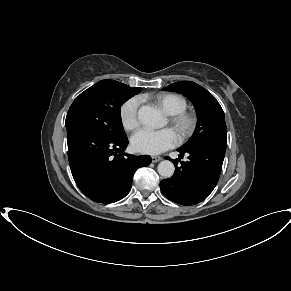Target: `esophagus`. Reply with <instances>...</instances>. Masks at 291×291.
<instances>
[{
	"mask_svg": "<svg viewBox=\"0 0 291 291\" xmlns=\"http://www.w3.org/2000/svg\"><path fill=\"white\" fill-rule=\"evenodd\" d=\"M151 160H152L153 163H157L160 160H162V157H160V156H152Z\"/></svg>",
	"mask_w": 291,
	"mask_h": 291,
	"instance_id": "1",
	"label": "esophagus"
}]
</instances>
